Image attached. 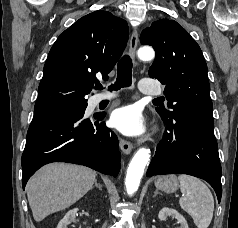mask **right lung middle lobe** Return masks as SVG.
I'll return each mask as SVG.
<instances>
[{
    "mask_svg": "<svg viewBox=\"0 0 238 228\" xmlns=\"http://www.w3.org/2000/svg\"><path fill=\"white\" fill-rule=\"evenodd\" d=\"M87 104V101L86 102H81V103H75V104H71V105H68L62 109H66V108H76V109H84V107L86 106ZM60 109V110H62Z\"/></svg>",
    "mask_w": 238,
    "mask_h": 228,
    "instance_id": "dd1d6c3e",
    "label": "right lung middle lobe"
}]
</instances>
